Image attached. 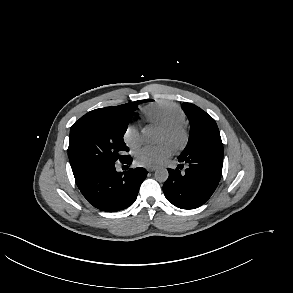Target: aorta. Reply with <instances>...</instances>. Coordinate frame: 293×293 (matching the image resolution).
<instances>
[{
	"label": "aorta",
	"instance_id": "obj_1",
	"mask_svg": "<svg viewBox=\"0 0 293 293\" xmlns=\"http://www.w3.org/2000/svg\"><path fill=\"white\" fill-rule=\"evenodd\" d=\"M143 137L146 142L154 143L158 140L157 133L149 128H145L142 131ZM169 173L166 168H159L155 171V179L159 182H165L168 179Z\"/></svg>",
	"mask_w": 293,
	"mask_h": 293
}]
</instances>
